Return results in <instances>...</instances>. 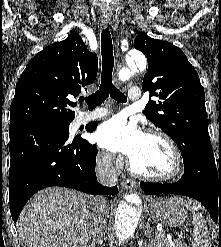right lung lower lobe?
Returning <instances> with one entry per match:
<instances>
[{"mask_svg": "<svg viewBox=\"0 0 221 247\" xmlns=\"http://www.w3.org/2000/svg\"><path fill=\"white\" fill-rule=\"evenodd\" d=\"M9 135V199L14 222L30 197L49 186L74 188L93 195L118 193L116 186L98 183V150L85 139H69L61 132L40 126H15L9 128Z\"/></svg>", "mask_w": 221, "mask_h": 247, "instance_id": "obj_1", "label": "right lung lower lobe"}]
</instances>
